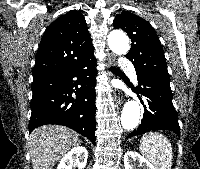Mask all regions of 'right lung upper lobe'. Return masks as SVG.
<instances>
[{
    "label": "right lung upper lobe",
    "instance_id": "cb5924a9",
    "mask_svg": "<svg viewBox=\"0 0 200 169\" xmlns=\"http://www.w3.org/2000/svg\"><path fill=\"white\" fill-rule=\"evenodd\" d=\"M84 16L72 10L47 27L39 44L33 81L72 70L93 56Z\"/></svg>",
    "mask_w": 200,
    "mask_h": 169
}]
</instances>
